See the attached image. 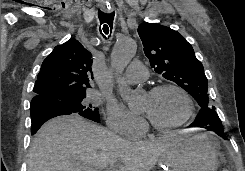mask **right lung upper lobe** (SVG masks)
Returning <instances> with one entry per match:
<instances>
[{
  "label": "right lung upper lobe",
  "mask_w": 245,
  "mask_h": 171,
  "mask_svg": "<svg viewBox=\"0 0 245 171\" xmlns=\"http://www.w3.org/2000/svg\"><path fill=\"white\" fill-rule=\"evenodd\" d=\"M93 79L92 55L80 42L70 39L58 45L43 61L34 85L32 100L55 95H82Z\"/></svg>",
  "instance_id": "obj_1"
}]
</instances>
